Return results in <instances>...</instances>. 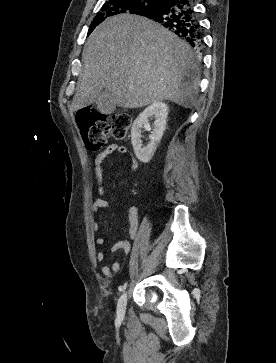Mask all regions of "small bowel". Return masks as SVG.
<instances>
[{
	"instance_id": "c3829d8e",
	"label": "small bowel",
	"mask_w": 276,
	"mask_h": 363,
	"mask_svg": "<svg viewBox=\"0 0 276 363\" xmlns=\"http://www.w3.org/2000/svg\"><path fill=\"white\" fill-rule=\"evenodd\" d=\"M113 153L122 154L129 162L132 170H136L138 168V161L133 156V154L129 151L126 146L119 145L117 143H112L108 145L102 152H100L94 158V173L96 180L98 182V196L93 202L91 206V210L94 213H99L108 208V201L104 199V187H103V167L102 164L104 160ZM128 221H129V230H128V238L119 240L111 245L110 251L112 253L123 251L124 253H129L131 250L132 240L135 238L138 232L139 226V215L138 208L136 206H132L128 212ZM92 229L94 231L99 230V223L96 220H92L91 222ZM105 242L103 237H97L95 239V243L99 246L103 245ZM96 259L98 262H103L105 260V253L103 251H98L96 253ZM121 264L119 262H115L112 265H104L102 267V273L106 278H112L115 274L121 271Z\"/></svg>"
}]
</instances>
